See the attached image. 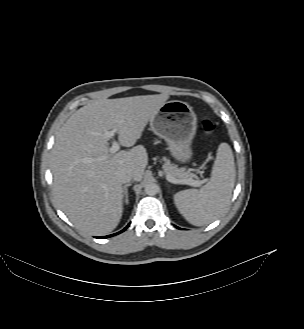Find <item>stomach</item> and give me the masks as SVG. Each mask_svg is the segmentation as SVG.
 <instances>
[{
    "mask_svg": "<svg viewBox=\"0 0 304 329\" xmlns=\"http://www.w3.org/2000/svg\"><path fill=\"white\" fill-rule=\"evenodd\" d=\"M150 127L156 135L165 140L170 155L176 161L186 163L191 160V145L196 134L197 118L189 104L179 100L165 102L150 120Z\"/></svg>",
    "mask_w": 304,
    "mask_h": 329,
    "instance_id": "0dacf381",
    "label": "stomach"
}]
</instances>
